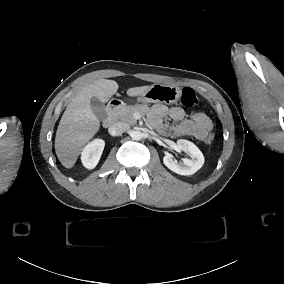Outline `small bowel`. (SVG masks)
I'll return each mask as SVG.
<instances>
[{
    "label": "small bowel",
    "mask_w": 284,
    "mask_h": 284,
    "mask_svg": "<svg viewBox=\"0 0 284 284\" xmlns=\"http://www.w3.org/2000/svg\"><path fill=\"white\" fill-rule=\"evenodd\" d=\"M169 119L174 124H169ZM151 124L172 136H193L198 140L205 141V138L212 130L211 119L203 112H187L180 107H167L156 104L149 114Z\"/></svg>",
    "instance_id": "1"
}]
</instances>
